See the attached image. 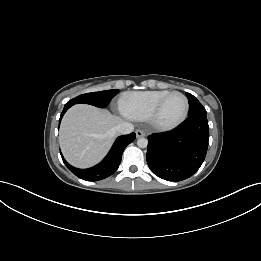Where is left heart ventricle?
<instances>
[{"mask_svg": "<svg viewBox=\"0 0 261 261\" xmlns=\"http://www.w3.org/2000/svg\"><path fill=\"white\" fill-rule=\"evenodd\" d=\"M184 100L179 95H171L161 106L158 119L163 123H170L177 120L183 113Z\"/></svg>", "mask_w": 261, "mask_h": 261, "instance_id": "1", "label": "left heart ventricle"}]
</instances>
